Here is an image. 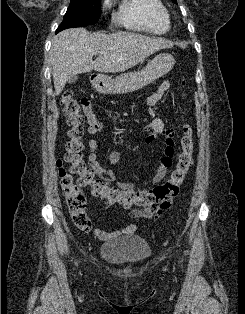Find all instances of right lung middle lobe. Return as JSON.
I'll use <instances>...</instances> for the list:
<instances>
[{
	"mask_svg": "<svg viewBox=\"0 0 245 314\" xmlns=\"http://www.w3.org/2000/svg\"><path fill=\"white\" fill-rule=\"evenodd\" d=\"M101 16V0H71L56 32L96 23Z\"/></svg>",
	"mask_w": 245,
	"mask_h": 314,
	"instance_id": "right-lung-middle-lobe-1",
	"label": "right lung middle lobe"
}]
</instances>
